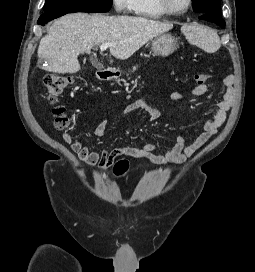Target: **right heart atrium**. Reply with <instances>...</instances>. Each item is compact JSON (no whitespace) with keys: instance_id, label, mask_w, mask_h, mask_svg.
<instances>
[{"instance_id":"d8ad5b80","label":"right heart atrium","mask_w":255,"mask_h":272,"mask_svg":"<svg viewBox=\"0 0 255 272\" xmlns=\"http://www.w3.org/2000/svg\"><path fill=\"white\" fill-rule=\"evenodd\" d=\"M112 4L118 13H128L134 10V0H112Z\"/></svg>"}]
</instances>
